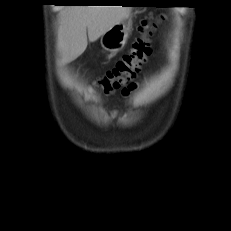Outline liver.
<instances>
[{"label": "liver", "mask_w": 231, "mask_h": 231, "mask_svg": "<svg viewBox=\"0 0 231 231\" xmlns=\"http://www.w3.org/2000/svg\"><path fill=\"white\" fill-rule=\"evenodd\" d=\"M130 7L122 6H68L60 13L58 50L63 59L79 57L90 42L96 41L110 28L125 21ZM88 33V38H87Z\"/></svg>", "instance_id": "6515ba94"}]
</instances>
